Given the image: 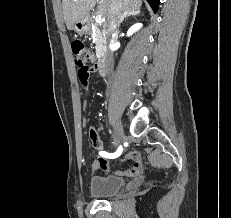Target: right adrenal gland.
<instances>
[{"label":"right adrenal gland","mask_w":231,"mask_h":218,"mask_svg":"<svg viewBox=\"0 0 231 218\" xmlns=\"http://www.w3.org/2000/svg\"><path fill=\"white\" fill-rule=\"evenodd\" d=\"M140 14V11H135V12H127L125 15L122 17V19L119 21L118 26L127 18L131 16H137Z\"/></svg>","instance_id":"1"}]
</instances>
